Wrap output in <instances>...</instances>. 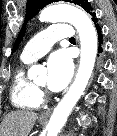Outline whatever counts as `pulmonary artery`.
Instances as JSON below:
<instances>
[{
  "label": "pulmonary artery",
  "instance_id": "obj_1",
  "mask_svg": "<svg viewBox=\"0 0 117 136\" xmlns=\"http://www.w3.org/2000/svg\"><path fill=\"white\" fill-rule=\"evenodd\" d=\"M71 37H73V30L70 25L63 23L50 25L25 45L21 58L25 62H33L45 55L56 41Z\"/></svg>",
  "mask_w": 117,
  "mask_h": 136
}]
</instances>
